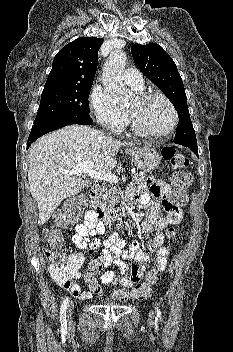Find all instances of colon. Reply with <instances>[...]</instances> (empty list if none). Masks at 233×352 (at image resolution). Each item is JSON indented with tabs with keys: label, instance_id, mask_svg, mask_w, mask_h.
<instances>
[{
	"label": "colon",
	"instance_id": "5ec220e1",
	"mask_svg": "<svg viewBox=\"0 0 233 352\" xmlns=\"http://www.w3.org/2000/svg\"><path fill=\"white\" fill-rule=\"evenodd\" d=\"M162 156L170 163L174 170L171 177L173 191L169 195V202L176 206H183L187 202L186 191L191 183L190 175L184 171L189 161L183 154L177 153L172 147L163 148ZM85 208V197H74L69 202L68 206L56 215L54 224L44 231L49 246L45 247L43 252L45 258L50 263V273L56 280H66L70 278L74 272L73 267L68 262V258L64 255V240L59 229L78 221L82 217ZM175 235L176 231L173 228L169 229L168 236L172 238L175 237ZM104 266L105 257L102 253L95 255L88 265L85 280L92 294H101L102 292L97 278ZM162 270L159 265L154 264L146 273L145 280L138 284L132 291L118 289L112 292V296L119 300H127L129 298L142 300L147 298L151 288L158 284Z\"/></svg>",
	"mask_w": 233,
	"mask_h": 352
}]
</instances>
